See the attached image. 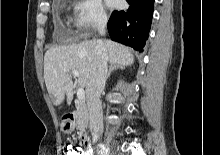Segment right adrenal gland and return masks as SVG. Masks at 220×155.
Segmentation results:
<instances>
[{"mask_svg":"<svg viewBox=\"0 0 220 155\" xmlns=\"http://www.w3.org/2000/svg\"><path fill=\"white\" fill-rule=\"evenodd\" d=\"M124 68V66H122V65H118V64H114V63H112L111 65H110V68H109V71H108V73H107V77L106 78H109L110 77V75H111V72L113 71V70H122Z\"/></svg>","mask_w":220,"mask_h":155,"instance_id":"obj_1","label":"right adrenal gland"}]
</instances>
